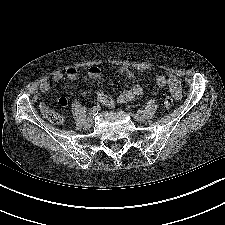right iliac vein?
Here are the masks:
<instances>
[{"instance_id":"1","label":"right iliac vein","mask_w":225,"mask_h":225,"mask_svg":"<svg viewBox=\"0 0 225 225\" xmlns=\"http://www.w3.org/2000/svg\"><path fill=\"white\" fill-rule=\"evenodd\" d=\"M94 121H93V118H88L85 123H84V127L85 128H90L92 125H93Z\"/></svg>"}]
</instances>
